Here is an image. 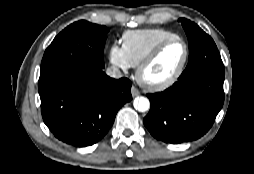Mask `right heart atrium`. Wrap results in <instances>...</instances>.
I'll return each instance as SVG.
<instances>
[{
    "label": "right heart atrium",
    "instance_id": "d8ad5b80",
    "mask_svg": "<svg viewBox=\"0 0 254 174\" xmlns=\"http://www.w3.org/2000/svg\"><path fill=\"white\" fill-rule=\"evenodd\" d=\"M108 58L112 66L124 72H127L132 67L123 50V47L118 43H113L109 47Z\"/></svg>",
    "mask_w": 254,
    "mask_h": 174
}]
</instances>
